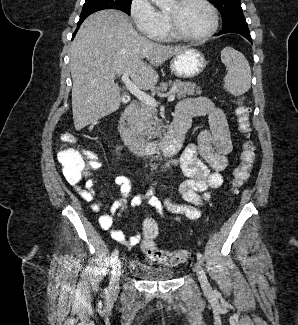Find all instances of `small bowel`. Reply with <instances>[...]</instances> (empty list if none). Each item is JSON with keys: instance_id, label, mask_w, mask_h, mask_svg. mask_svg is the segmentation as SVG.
Returning <instances> with one entry per match:
<instances>
[{"instance_id": "small-bowel-1", "label": "small bowel", "mask_w": 298, "mask_h": 325, "mask_svg": "<svg viewBox=\"0 0 298 325\" xmlns=\"http://www.w3.org/2000/svg\"><path fill=\"white\" fill-rule=\"evenodd\" d=\"M197 104L201 115L209 118V130L199 133L196 144L188 145L179 158L172 161L168 166L180 167L186 180L180 183L179 192L184 203H175L169 198L160 199L156 196L153 188L144 195H137L132 198L131 205L139 206L143 201L153 207L160 217L166 212L179 218L180 215L193 220L200 216L199 207L210 197V190L219 188L224 178L222 172L228 166V154L232 151L233 144L225 113L207 99L198 98L186 100ZM115 183L120 189L121 196L111 206L108 213L99 218L100 227L109 231L112 239L128 247L137 245L140 241V234L126 238L121 230L114 228V222L127 207V198L131 192L132 180L127 175L116 177ZM96 180L88 178L84 186H76V192L86 202H90V209L94 213L101 211L102 205L95 201Z\"/></svg>"}]
</instances>
